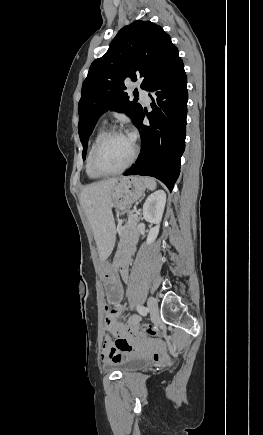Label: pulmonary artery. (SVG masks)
I'll return each mask as SVG.
<instances>
[{"label": "pulmonary artery", "instance_id": "obj_1", "mask_svg": "<svg viewBox=\"0 0 263 435\" xmlns=\"http://www.w3.org/2000/svg\"><path fill=\"white\" fill-rule=\"evenodd\" d=\"M140 93H141V100L143 101L144 104L148 105L150 101L148 92L146 90H140Z\"/></svg>", "mask_w": 263, "mask_h": 435}]
</instances>
